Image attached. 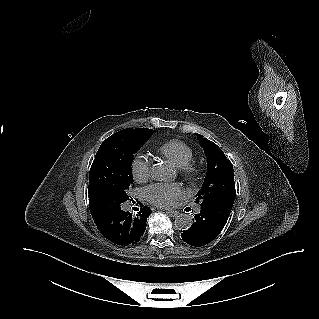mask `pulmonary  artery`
<instances>
[{"label":"pulmonary artery","instance_id":"pulmonary-artery-1","mask_svg":"<svg viewBox=\"0 0 319 319\" xmlns=\"http://www.w3.org/2000/svg\"><path fill=\"white\" fill-rule=\"evenodd\" d=\"M195 212H196V213H199V212H200V206H197V207H196Z\"/></svg>","mask_w":319,"mask_h":319}]
</instances>
